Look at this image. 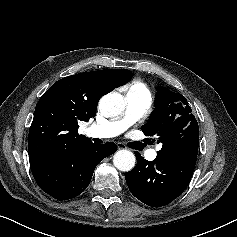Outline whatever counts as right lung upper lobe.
<instances>
[{
  "label": "right lung upper lobe",
  "instance_id": "1",
  "mask_svg": "<svg viewBox=\"0 0 237 237\" xmlns=\"http://www.w3.org/2000/svg\"><path fill=\"white\" fill-rule=\"evenodd\" d=\"M131 71L84 72L55 82L40 98L29 130L30 163L89 140L78 134V123L95 117L102 94L127 83Z\"/></svg>",
  "mask_w": 237,
  "mask_h": 237
}]
</instances>
